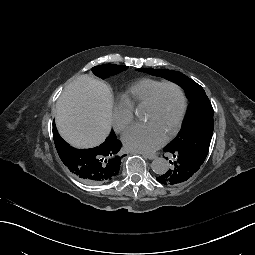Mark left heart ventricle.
<instances>
[{"mask_svg":"<svg viewBox=\"0 0 255 255\" xmlns=\"http://www.w3.org/2000/svg\"><path fill=\"white\" fill-rule=\"evenodd\" d=\"M179 110V93L166 86L160 90L154 107L144 109L142 120L166 138L175 127Z\"/></svg>","mask_w":255,"mask_h":255,"instance_id":"b2bd125f","label":"left heart ventricle"}]
</instances>
